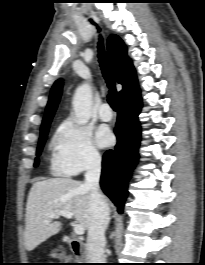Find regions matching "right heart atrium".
<instances>
[{
	"label": "right heart atrium",
	"instance_id": "obj_1",
	"mask_svg": "<svg viewBox=\"0 0 205 265\" xmlns=\"http://www.w3.org/2000/svg\"><path fill=\"white\" fill-rule=\"evenodd\" d=\"M100 162L101 155L91 131L70 120L62 123L53 142V172L74 176L98 166Z\"/></svg>",
	"mask_w": 205,
	"mask_h": 265
}]
</instances>
